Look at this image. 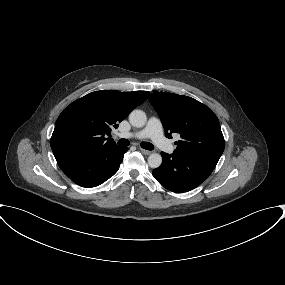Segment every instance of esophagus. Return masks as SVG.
<instances>
[{
	"label": "esophagus",
	"instance_id": "1",
	"mask_svg": "<svg viewBox=\"0 0 285 285\" xmlns=\"http://www.w3.org/2000/svg\"><path fill=\"white\" fill-rule=\"evenodd\" d=\"M140 151L144 154V155H150L151 154V151L149 150H145V149H140Z\"/></svg>",
	"mask_w": 285,
	"mask_h": 285
}]
</instances>
